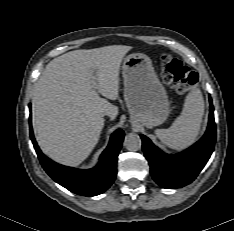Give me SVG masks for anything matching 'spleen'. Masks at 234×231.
<instances>
[{"instance_id":"1","label":"spleen","mask_w":234,"mask_h":231,"mask_svg":"<svg viewBox=\"0 0 234 231\" xmlns=\"http://www.w3.org/2000/svg\"><path fill=\"white\" fill-rule=\"evenodd\" d=\"M204 114V100L200 90L192 89L185 98L181 114L168 129H157V137L174 150L192 145L200 131Z\"/></svg>"}]
</instances>
